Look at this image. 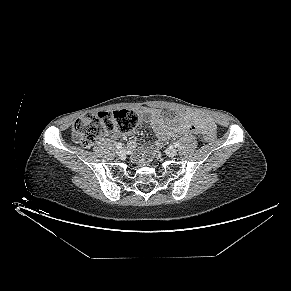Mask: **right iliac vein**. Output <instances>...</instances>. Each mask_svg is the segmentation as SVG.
Segmentation results:
<instances>
[{"instance_id": "63e3f726", "label": "right iliac vein", "mask_w": 291, "mask_h": 291, "mask_svg": "<svg viewBox=\"0 0 291 291\" xmlns=\"http://www.w3.org/2000/svg\"><path fill=\"white\" fill-rule=\"evenodd\" d=\"M116 153H117L118 156L123 157V156L126 155V149L119 148Z\"/></svg>"}]
</instances>
